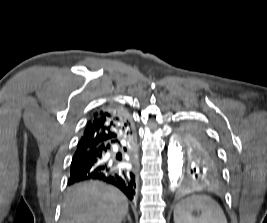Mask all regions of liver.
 I'll return each instance as SVG.
<instances>
[{
    "label": "liver",
    "mask_w": 267,
    "mask_h": 223,
    "mask_svg": "<svg viewBox=\"0 0 267 223\" xmlns=\"http://www.w3.org/2000/svg\"><path fill=\"white\" fill-rule=\"evenodd\" d=\"M128 201L118 189L97 181L68 189L60 223H121Z\"/></svg>",
    "instance_id": "obj_1"
}]
</instances>
